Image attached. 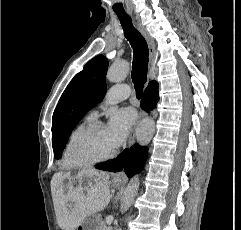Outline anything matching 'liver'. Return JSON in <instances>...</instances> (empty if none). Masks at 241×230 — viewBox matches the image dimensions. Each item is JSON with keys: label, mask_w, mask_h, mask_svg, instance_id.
Returning a JSON list of instances; mask_svg holds the SVG:
<instances>
[{"label": "liver", "mask_w": 241, "mask_h": 230, "mask_svg": "<svg viewBox=\"0 0 241 230\" xmlns=\"http://www.w3.org/2000/svg\"><path fill=\"white\" fill-rule=\"evenodd\" d=\"M89 175L93 181L85 186L81 179ZM110 175L95 169H85L75 177L69 173H55L51 181V192L55 206L57 222L62 230H75L87 216L103 210L110 201ZM78 181L74 187L71 182ZM69 202L71 204H69Z\"/></svg>", "instance_id": "liver-1"}]
</instances>
